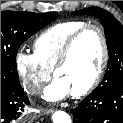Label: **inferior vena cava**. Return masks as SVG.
<instances>
[{
	"mask_svg": "<svg viewBox=\"0 0 123 123\" xmlns=\"http://www.w3.org/2000/svg\"><path fill=\"white\" fill-rule=\"evenodd\" d=\"M41 91H42V88L38 87V86H32L28 89V92L31 93V94H37Z\"/></svg>",
	"mask_w": 123,
	"mask_h": 123,
	"instance_id": "inferior-vena-cava-1",
	"label": "inferior vena cava"
}]
</instances>
